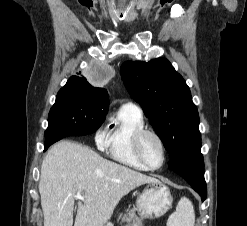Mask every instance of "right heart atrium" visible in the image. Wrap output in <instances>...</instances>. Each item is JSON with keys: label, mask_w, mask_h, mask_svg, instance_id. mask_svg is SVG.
Wrapping results in <instances>:
<instances>
[{"label": "right heart atrium", "mask_w": 247, "mask_h": 226, "mask_svg": "<svg viewBox=\"0 0 247 226\" xmlns=\"http://www.w3.org/2000/svg\"><path fill=\"white\" fill-rule=\"evenodd\" d=\"M107 140H108L107 130L105 128L98 130L95 135V142L97 146L100 148H104L107 144Z\"/></svg>", "instance_id": "right-heart-atrium-1"}]
</instances>
